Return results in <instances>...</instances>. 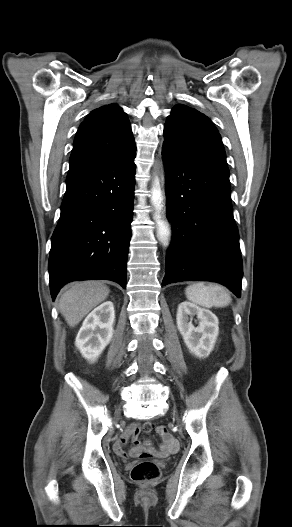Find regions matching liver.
<instances>
[{"instance_id": "6515ba94", "label": "liver", "mask_w": 292, "mask_h": 527, "mask_svg": "<svg viewBox=\"0 0 292 527\" xmlns=\"http://www.w3.org/2000/svg\"><path fill=\"white\" fill-rule=\"evenodd\" d=\"M110 289L99 281L73 283L61 296V314L70 327H75L92 309L102 303Z\"/></svg>"}]
</instances>
